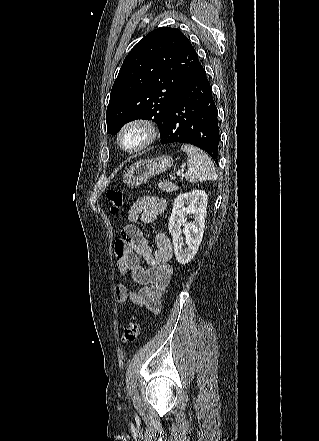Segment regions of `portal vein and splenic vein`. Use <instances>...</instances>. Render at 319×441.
<instances>
[{
  "instance_id": "portal-vein-and-splenic-vein-1",
  "label": "portal vein and splenic vein",
  "mask_w": 319,
  "mask_h": 441,
  "mask_svg": "<svg viewBox=\"0 0 319 441\" xmlns=\"http://www.w3.org/2000/svg\"><path fill=\"white\" fill-rule=\"evenodd\" d=\"M182 174H183L182 171L177 172V176H181Z\"/></svg>"
}]
</instances>
